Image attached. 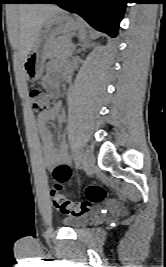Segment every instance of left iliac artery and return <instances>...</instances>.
Instances as JSON below:
<instances>
[{
	"label": "left iliac artery",
	"mask_w": 166,
	"mask_h": 267,
	"mask_svg": "<svg viewBox=\"0 0 166 267\" xmlns=\"http://www.w3.org/2000/svg\"><path fill=\"white\" fill-rule=\"evenodd\" d=\"M74 157H75L76 167L78 168L79 165H80V162H81V155L79 154L78 151H76L75 154H74Z\"/></svg>",
	"instance_id": "1"
}]
</instances>
